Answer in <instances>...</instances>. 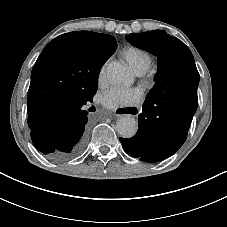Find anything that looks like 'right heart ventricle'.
Wrapping results in <instances>:
<instances>
[{
	"instance_id": "right-heart-ventricle-1",
	"label": "right heart ventricle",
	"mask_w": 227,
	"mask_h": 227,
	"mask_svg": "<svg viewBox=\"0 0 227 227\" xmlns=\"http://www.w3.org/2000/svg\"><path fill=\"white\" fill-rule=\"evenodd\" d=\"M122 54L135 73L142 74L151 63L150 53L139 46H127L123 48Z\"/></svg>"
}]
</instances>
